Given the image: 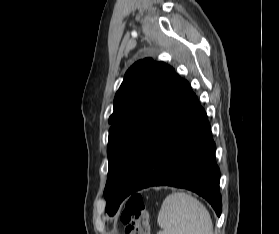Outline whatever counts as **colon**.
<instances>
[{"label":"colon","mask_w":279,"mask_h":234,"mask_svg":"<svg viewBox=\"0 0 279 234\" xmlns=\"http://www.w3.org/2000/svg\"><path fill=\"white\" fill-rule=\"evenodd\" d=\"M124 234H150L149 211L141 195L130 196L121 213Z\"/></svg>","instance_id":"colon-1"}]
</instances>
